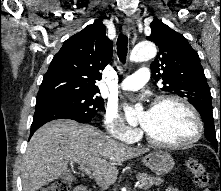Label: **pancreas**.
Here are the masks:
<instances>
[{
	"label": "pancreas",
	"mask_w": 221,
	"mask_h": 191,
	"mask_svg": "<svg viewBox=\"0 0 221 191\" xmlns=\"http://www.w3.org/2000/svg\"><path fill=\"white\" fill-rule=\"evenodd\" d=\"M137 180L141 182L144 188H149L153 185L159 186L163 182V179H161L160 177H155L145 173L138 174Z\"/></svg>",
	"instance_id": "cf45deb5"
}]
</instances>
